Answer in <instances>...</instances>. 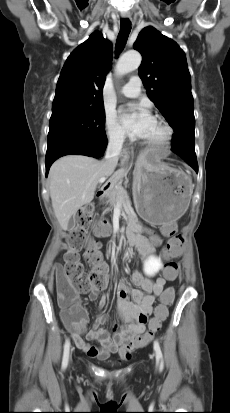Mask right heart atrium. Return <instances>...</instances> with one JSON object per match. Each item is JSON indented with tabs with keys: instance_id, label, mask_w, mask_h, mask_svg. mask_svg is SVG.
I'll list each match as a JSON object with an SVG mask.
<instances>
[{
	"instance_id": "1",
	"label": "right heart atrium",
	"mask_w": 230,
	"mask_h": 413,
	"mask_svg": "<svg viewBox=\"0 0 230 413\" xmlns=\"http://www.w3.org/2000/svg\"><path fill=\"white\" fill-rule=\"evenodd\" d=\"M104 132L109 143L122 146L127 140V134L116 121L115 117L107 114L104 119Z\"/></svg>"
}]
</instances>
